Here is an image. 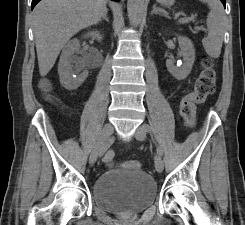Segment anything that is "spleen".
<instances>
[{
    "label": "spleen",
    "mask_w": 245,
    "mask_h": 225,
    "mask_svg": "<svg viewBox=\"0 0 245 225\" xmlns=\"http://www.w3.org/2000/svg\"><path fill=\"white\" fill-rule=\"evenodd\" d=\"M164 3V0H157ZM207 3L210 12L207 16L208 36L202 40L206 53L212 58H218L221 53L225 32V12L219 0H200Z\"/></svg>",
    "instance_id": "3e777b00"
}]
</instances>
